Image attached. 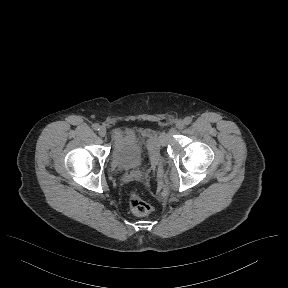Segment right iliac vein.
I'll return each instance as SVG.
<instances>
[{"mask_svg": "<svg viewBox=\"0 0 288 288\" xmlns=\"http://www.w3.org/2000/svg\"><path fill=\"white\" fill-rule=\"evenodd\" d=\"M106 134H107L106 128H105V127H101V128L99 129V135H100L101 137H105Z\"/></svg>", "mask_w": 288, "mask_h": 288, "instance_id": "obj_1", "label": "right iliac vein"}]
</instances>
